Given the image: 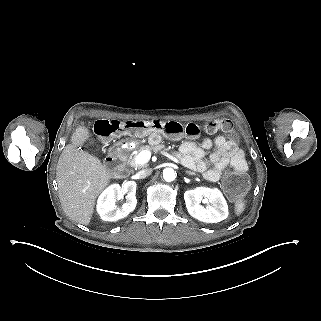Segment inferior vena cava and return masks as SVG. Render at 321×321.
<instances>
[{
	"label": "inferior vena cava",
	"instance_id": "602c4592",
	"mask_svg": "<svg viewBox=\"0 0 321 321\" xmlns=\"http://www.w3.org/2000/svg\"><path fill=\"white\" fill-rule=\"evenodd\" d=\"M152 173V169L151 168H146V169H142L140 170L137 175H138V178L139 179H144L146 178L147 176L151 175Z\"/></svg>",
	"mask_w": 321,
	"mask_h": 321
}]
</instances>
